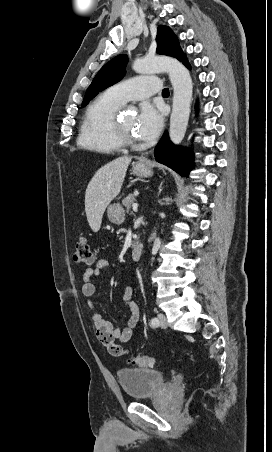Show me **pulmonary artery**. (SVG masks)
<instances>
[{"instance_id": "e3ab8cb5", "label": "pulmonary artery", "mask_w": 272, "mask_h": 452, "mask_svg": "<svg viewBox=\"0 0 272 452\" xmlns=\"http://www.w3.org/2000/svg\"><path fill=\"white\" fill-rule=\"evenodd\" d=\"M160 80L156 77H133L113 85L108 92L120 103L144 100L158 93Z\"/></svg>"}]
</instances>
